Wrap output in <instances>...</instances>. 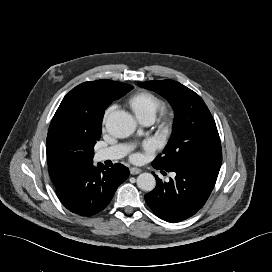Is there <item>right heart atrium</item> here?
Listing matches in <instances>:
<instances>
[{
  "label": "right heart atrium",
  "mask_w": 272,
  "mask_h": 272,
  "mask_svg": "<svg viewBox=\"0 0 272 272\" xmlns=\"http://www.w3.org/2000/svg\"><path fill=\"white\" fill-rule=\"evenodd\" d=\"M112 111V108L109 107L106 112H105V116H104V120L107 118V116L109 115V113Z\"/></svg>",
  "instance_id": "d8ad5b80"
}]
</instances>
